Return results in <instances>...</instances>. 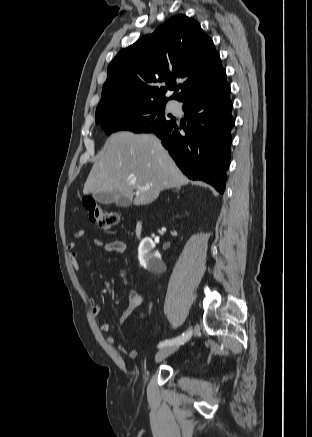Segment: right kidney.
I'll return each mask as SVG.
<instances>
[{"label":"right kidney","instance_id":"ca27d5eb","mask_svg":"<svg viewBox=\"0 0 312 437\" xmlns=\"http://www.w3.org/2000/svg\"><path fill=\"white\" fill-rule=\"evenodd\" d=\"M155 243L151 238H144L138 248V259L141 266L150 271H156L164 266L160 255L153 252Z\"/></svg>","mask_w":312,"mask_h":437}]
</instances>
